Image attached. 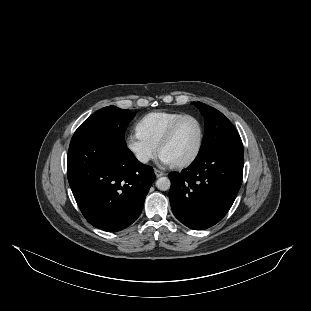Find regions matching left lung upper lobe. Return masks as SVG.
<instances>
[{
    "label": "left lung upper lobe",
    "mask_w": 311,
    "mask_h": 311,
    "mask_svg": "<svg viewBox=\"0 0 311 311\" xmlns=\"http://www.w3.org/2000/svg\"><path fill=\"white\" fill-rule=\"evenodd\" d=\"M193 104L199 108L205 119V134L196 159L228 144L241 142L235 127L221 112L201 102Z\"/></svg>",
    "instance_id": "obj_1"
}]
</instances>
